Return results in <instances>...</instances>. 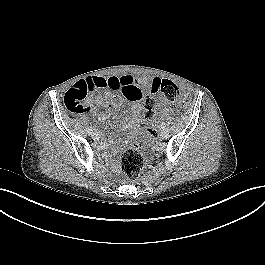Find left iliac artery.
Here are the masks:
<instances>
[{"mask_svg": "<svg viewBox=\"0 0 265 265\" xmlns=\"http://www.w3.org/2000/svg\"><path fill=\"white\" fill-rule=\"evenodd\" d=\"M160 127H161L162 129H165L166 124L163 122V123H161Z\"/></svg>", "mask_w": 265, "mask_h": 265, "instance_id": "44dca946", "label": "left iliac artery"}]
</instances>
